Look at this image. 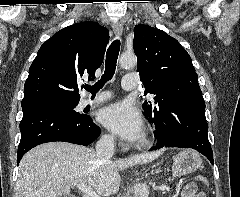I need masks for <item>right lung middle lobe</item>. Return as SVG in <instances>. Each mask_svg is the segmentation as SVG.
<instances>
[{
	"label": "right lung middle lobe",
	"mask_w": 240,
	"mask_h": 197,
	"mask_svg": "<svg viewBox=\"0 0 240 197\" xmlns=\"http://www.w3.org/2000/svg\"><path fill=\"white\" fill-rule=\"evenodd\" d=\"M78 102L79 101H52L44 104L54 106L63 111L67 116L73 117L76 120H82L85 116L74 110V108L78 105Z\"/></svg>",
	"instance_id": "right-lung-middle-lobe-1"
}]
</instances>
